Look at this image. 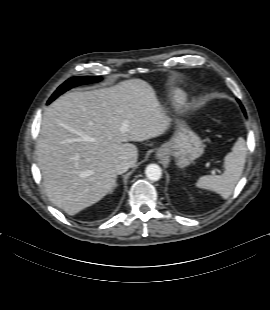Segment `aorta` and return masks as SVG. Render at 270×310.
<instances>
[{
	"label": "aorta",
	"instance_id": "1",
	"mask_svg": "<svg viewBox=\"0 0 270 310\" xmlns=\"http://www.w3.org/2000/svg\"><path fill=\"white\" fill-rule=\"evenodd\" d=\"M146 177L151 181H158L162 176V170L157 164H149L145 169Z\"/></svg>",
	"mask_w": 270,
	"mask_h": 310
}]
</instances>
